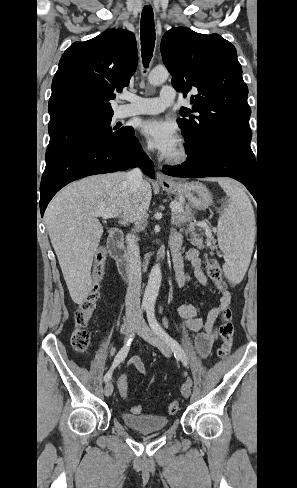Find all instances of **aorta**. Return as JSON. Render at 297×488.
<instances>
[{"mask_svg":"<svg viewBox=\"0 0 297 488\" xmlns=\"http://www.w3.org/2000/svg\"><path fill=\"white\" fill-rule=\"evenodd\" d=\"M169 77V72L165 67H156L148 75V81L151 85L157 86L164 83ZM162 273L160 265L156 264L151 269L148 283L143 297L145 307H153L161 285Z\"/></svg>","mask_w":297,"mask_h":488,"instance_id":"1","label":"aorta"}]
</instances>
